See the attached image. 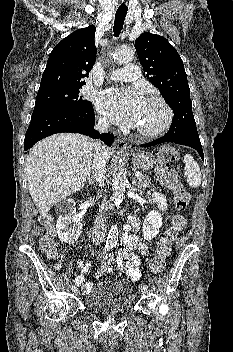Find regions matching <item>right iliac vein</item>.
Wrapping results in <instances>:
<instances>
[{
	"mask_svg": "<svg viewBox=\"0 0 233 352\" xmlns=\"http://www.w3.org/2000/svg\"><path fill=\"white\" fill-rule=\"evenodd\" d=\"M76 294H78V290L76 289L75 291H74Z\"/></svg>",
	"mask_w": 233,
	"mask_h": 352,
	"instance_id": "63e3f726",
	"label": "right iliac vein"
}]
</instances>
